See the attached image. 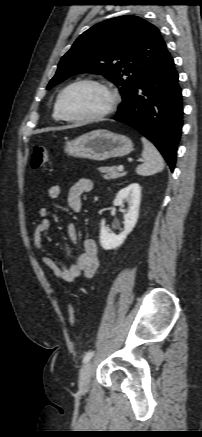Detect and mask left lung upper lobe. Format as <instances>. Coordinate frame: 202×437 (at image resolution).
Here are the masks:
<instances>
[{
  "label": "left lung upper lobe",
  "instance_id": "obj_1",
  "mask_svg": "<svg viewBox=\"0 0 202 437\" xmlns=\"http://www.w3.org/2000/svg\"><path fill=\"white\" fill-rule=\"evenodd\" d=\"M166 52L153 24L133 15L111 18L78 37L47 89L78 73L100 74L119 88L123 105Z\"/></svg>",
  "mask_w": 202,
  "mask_h": 437
}]
</instances>
